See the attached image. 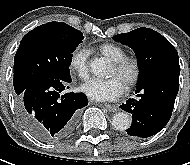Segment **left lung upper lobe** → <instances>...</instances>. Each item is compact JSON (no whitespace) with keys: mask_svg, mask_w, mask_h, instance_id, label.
Returning <instances> with one entry per match:
<instances>
[{"mask_svg":"<svg viewBox=\"0 0 190 165\" xmlns=\"http://www.w3.org/2000/svg\"><path fill=\"white\" fill-rule=\"evenodd\" d=\"M113 38L134 50L140 68L138 82L158 70L180 68L178 53L174 46L152 29L138 28L115 35Z\"/></svg>","mask_w":190,"mask_h":165,"instance_id":"obj_1","label":"left lung upper lobe"}]
</instances>
